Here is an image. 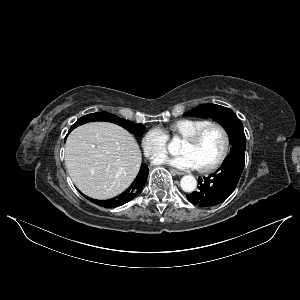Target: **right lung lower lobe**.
<instances>
[{
	"label": "right lung lower lobe",
	"mask_w": 300,
	"mask_h": 300,
	"mask_svg": "<svg viewBox=\"0 0 300 300\" xmlns=\"http://www.w3.org/2000/svg\"><path fill=\"white\" fill-rule=\"evenodd\" d=\"M148 173H149L148 166L146 164H142L138 176L135 178V180L129 186V188L126 189L120 195L112 199L99 201V200L88 198L87 196H85V198L89 199L90 201L94 202L99 206L106 207V208H114V207L121 206L134 199L142 191L146 183Z\"/></svg>",
	"instance_id": "obj_1"
}]
</instances>
